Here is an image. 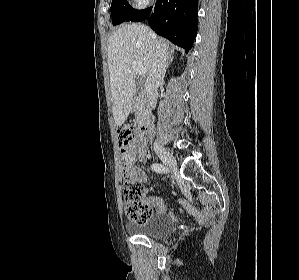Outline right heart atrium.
I'll return each mask as SVG.
<instances>
[{
  "label": "right heart atrium",
  "instance_id": "obj_1",
  "mask_svg": "<svg viewBox=\"0 0 299 280\" xmlns=\"http://www.w3.org/2000/svg\"><path fill=\"white\" fill-rule=\"evenodd\" d=\"M151 0H132V4L136 8H144L146 7Z\"/></svg>",
  "mask_w": 299,
  "mask_h": 280
}]
</instances>
